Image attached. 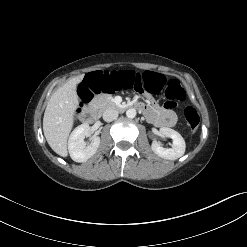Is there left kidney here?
<instances>
[{"mask_svg": "<svg viewBox=\"0 0 247 247\" xmlns=\"http://www.w3.org/2000/svg\"><path fill=\"white\" fill-rule=\"evenodd\" d=\"M159 134L171 138L172 147L164 148L157 141H153L151 149L155 154L168 160H176L184 154L186 148L185 141L177 131L171 128L161 127Z\"/></svg>", "mask_w": 247, "mask_h": 247, "instance_id": "5707ae66", "label": "left kidney"}]
</instances>
